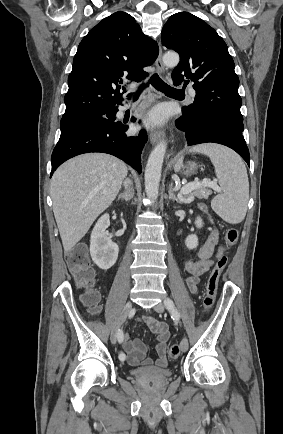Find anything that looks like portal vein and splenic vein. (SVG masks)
<instances>
[{
    "label": "portal vein and splenic vein",
    "instance_id": "18ae733b",
    "mask_svg": "<svg viewBox=\"0 0 283 434\" xmlns=\"http://www.w3.org/2000/svg\"><path fill=\"white\" fill-rule=\"evenodd\" d=\"M202 185L203 186H208V187H210V188H212L214 190H219V187H218V185L215 182H211V181H209L208 179L205 178V179H203L202 182L194 181V182H191V183L183 186L181 188V190H180V194H184V195L185 194H189L194 189H196V188H198V187H200ZM186 202H189V201H186Z\"/></svg>",
    "mask_w": 283,
    "mask_h": 434
}]
</instances>
